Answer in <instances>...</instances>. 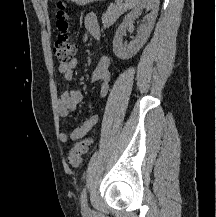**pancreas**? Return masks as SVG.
<instances>
[{"mask_svg": "<svg viewBox=\"0 0 216 217\" xmlns=\"http://www.w3.org/2000/svg\"><path fill=\"white\" fill-rule=\"evenodd\" d=\"M124 11L125 5L122 3V0H115V4H110L106 13L102 15L103 27L107 28L113 25Z\"/></svg>", "mask_w": 216, "mask_h": 217, "instance_id": "obj_1", "label": "pancreas"}]
</instances>
